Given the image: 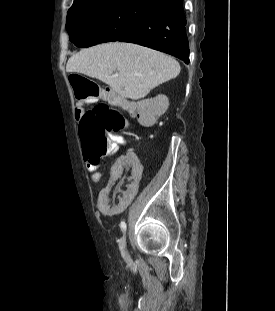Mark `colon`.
<instances>
[{"label": "colon", "instance_id": "5ec220e1", "mask_svg": "<svg viewBox=\"0 0 275 311\" xmlns=\"http://www.w3.org/2000/svg\"><path fill=\"white\" fill-rule=\"evenodd\" d=\"M70 81L78 102L98 104V98L103 99V102L93 109L84 111L79 119L80 137L87 157L100 160L117 150L111 134L125 127L126 118L111 106L112 97L119 103H125L132 112H137L144 124L149 125L154 120V116L146 113L140 105L127 102L109 90H102L98 84L85 76L72 74Z\"/></svg>", "mask_w": 275, "mask_h": 311}]
</instances>
